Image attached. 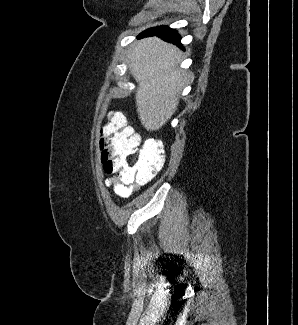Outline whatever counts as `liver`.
<instances>
[{
    "label": "liver",
    "instance_id": "liver-1",
    "mask_svg": "<svg viewBox=\"0 0 298 325\" xmlns=\"http://www.w3.org/2000/svg\"><path fill=\"white\" fill-rule=\"evenodd\" d=\"M182 54L177 46L158 36L142 38L132 46L129 70L138 82L135 100L146 130H159L177 110L184 82V70L178 68Z\"/></svg>",
    "mask_w": 298,
    "mask_h": 325
}]
</instances>
